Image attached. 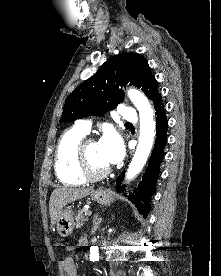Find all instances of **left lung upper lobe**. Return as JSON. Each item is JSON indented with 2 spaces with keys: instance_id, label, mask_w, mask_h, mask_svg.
I'll use <instances>...</instances> for the list:
<instances>
[{
  "instance_id": "1",
  "label": "left lung upper lobe",
  "mask_w": 221,
  "mask_h": 276,
  "mask_svg": "<svg viewBox=\"0 0 221 276\" xmlns=\"http://www.w3.org/2000/svg\"><path fill=\"white\" fill-rule=\"evenodd\" d=\"M127 84L141 88L152 101L159 94L147 60L138 53H120L109 57L95 75L69 95L60 122L102 116L124 100L119 87Z\"/></svg>"
}]
</instances>
